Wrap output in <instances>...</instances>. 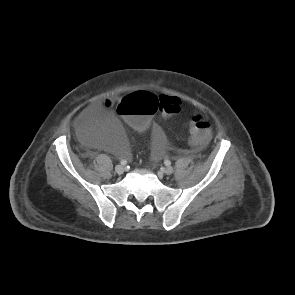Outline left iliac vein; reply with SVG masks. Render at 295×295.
<instances>
[{
	"instance_id": "4c4485c4",
	"label": "left iliac vein",
	"mask_w": 295,
	"mask_h": 295,
	"mask_svg": "<svg viewBox=\"0 0 295 295\" xmlns=\"http://www.w3.org/2000/svg\"><path fill=\"white\" fill-rule=\"evenodd\" d=\"M164 174H166V175H171L173 172H174V169H173V167H171V166H168V167H166L165 169H164Z\"/></svg>"
}]
</instances>
